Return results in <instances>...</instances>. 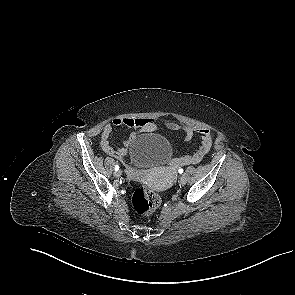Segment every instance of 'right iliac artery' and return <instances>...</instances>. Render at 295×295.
<instances>
[{"mask_svg": "<svg viewBox=\"0 0 295 295\" xmlns=\"http://www.w3.org/2000/svg\"><path fill=\"white\" fill-rule=\"evenodd\" d=\"M115 171L119 170V165H115Z\"/></svg>", "mask_w": 295, "mask_h": 295, "instance_id": "82829eb1", "label": "right iliac artery"}]
</instances>
